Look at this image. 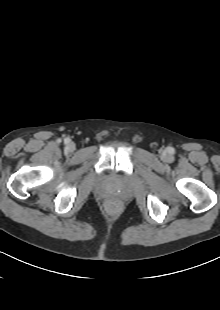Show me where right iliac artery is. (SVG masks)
Masks as SVG:
<instances>
[{
	"instance_id": "1",
	"label": "right iliac artery",
	"mask_w": 220,
	"mask_h": 310,
	"mask_svg": "<svg viewBox=\"0 0 220 310\" xmlns=\"http://www.w3.org/2000/svg\"><path fill=\"white\" fill-rule=\"evenodd\" d=\"M70 142V140L69 139H65V143H69Z\"/></svg>"
}]
</instances>
